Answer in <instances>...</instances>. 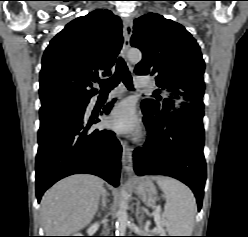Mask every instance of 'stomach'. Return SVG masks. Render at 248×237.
Masks as SVG:
<instances>
[{
  "label": "stomach",
  "instance_id": "0dacf381",
  "mask_svg": "<svg viewBox=\"0 0 248 237\" xmlns=\"http://www.w3.org/2000/svg\"><path fill=\"white\" fill-rule=\"evenodd\" d=\"M135 192L146 206L151 208L156 206L158 193L150 178H143L137 182Z\"/></svg>",
  "mask_w": 248,
  "mask_h": 237
}]
</instances>
